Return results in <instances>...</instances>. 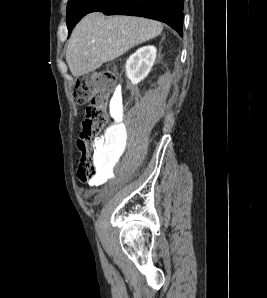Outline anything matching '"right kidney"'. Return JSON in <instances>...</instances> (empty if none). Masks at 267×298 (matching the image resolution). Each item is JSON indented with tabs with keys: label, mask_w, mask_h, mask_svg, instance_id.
<instances>
[{
	"label": "right kidney",
	"mask_w": 267,
	"mask_h": 298,
	"mask_svg": "<svg viewBox=\"0 0 267 298\" xmlns=\"http://www.w3.org/2000/svg\"><path fill=\"white\" fill-rule=\"evenodd\" d=\"M156 52L154 46H143L127 59L126 75L133 85L148 75L156 59Z\"/></svg>",
	"instance_id": "right-kidney-1"
}]
</instances>
